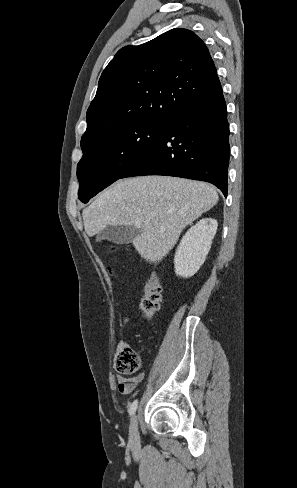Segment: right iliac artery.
Listing matches in <instances>:
<instances>
[{"instance_id": "obj_1", "label": "right iliac artery", "mask_w": 297, "mask_h": 488, "mask_svg": "<svg viewBox=\"0 0 297 488\" xmlns=\"http://www.w3.org/2000/svg\"><path fill=\"white\" fill-rule=\"evenodd\" d=\"M137 405H138V400H134L133 403L131 404L130 408H129V413L130 415H134L136 409H137Z\"/></svg>"}]
</instances>
